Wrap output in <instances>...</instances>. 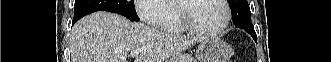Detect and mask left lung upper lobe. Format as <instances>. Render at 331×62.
<instances>
[{
	"instance_id": "obj_1",
	"label": "left lung upper lobe",
	"mask_w": 331,
	"mask_h": 62,
	"mask_svg": "<svg viewBox=\"0 0 331 62\" xmlns=\"http://www.w3.org/2000/svg\"><path fill=\"white\" fill-rule=\"evenodd\" d=\"M228 3L232 12V21L235 26L244 29L252 37L256 35L251 22L250 8L247 0H228Z\"/></svg>"
}]
</instances>
